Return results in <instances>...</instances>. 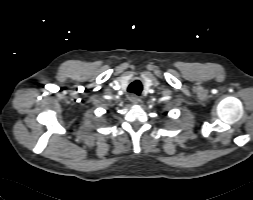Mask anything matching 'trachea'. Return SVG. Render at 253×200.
Masks as SVG:
<instances>
[{"label":"trachea","mask_w":253,"mask_h":200,"mask_svg":"<svg viewBox=\"0 0 253 200\" xmlns=\"http://www.w3.org/2000/svg\"><path fill=\"white\" fill-rule=\"evenodd\" d=\"M128 91L140 95L142 91V84L139 80H135L128 86Z\"/></svg>","instance_id":"obj_1"}]
</instances>
